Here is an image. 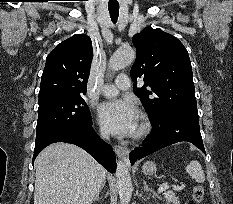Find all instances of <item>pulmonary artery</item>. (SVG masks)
Masks as SVG:
<instances>
[{
  "mask_svg": "<svg viewBox=\"0 0 233 204\" xmlns=\"http://www.w3.org/2000/svg\"><path fill=\"white\" fill-rule=\"evenodd\" d=\"M130 87V79L127 75H119L114 84H106L102 87L101 93L104 96L112 97L119 93L121 90H127Z\"/></svg>",
  "mask_w": 233,
  "mask_h": 204,
  "instance_id": "pulmonary-artery-1",
  "label": "pulmonary artery"
}]
</instances>
